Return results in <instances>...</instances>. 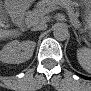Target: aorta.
Masks as SVG:
<instances>
[{
	"label": "aorta",
	"mask_w": 91,
	"mask_h": 91,
	"mask_svg": "<svg viewBox=\"0 0 91 91\" xmlns=\"http://www.w3.org/2000/svg\"><path fill=\"white\" fill-rule=\"evenodd\" d=\"M53 35L56 40L64 41L68 37V29L62 24H56L53 27Z\"/></svg>",
	"instance_id": "762f6f07"
}]
</instances>
